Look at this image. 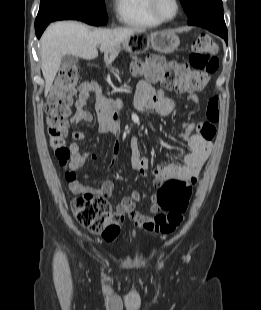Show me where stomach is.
I'll use <instances>...</instances> for the list:
<instances>
[{
	"instance_id": "stomach-1",
	"label": "stomach",
	"mask_w": 261,
	"mask_h": 310,
	"mask_svg": "<svg viewBox=\"0 0 261 310\" xmlns=\"http://www.w3.org/2000/svg\"><path fill=\"white\" fill-rule=\"evenodd\" d=\"M180 44L179 37L173 31H158L148 35L145 32H136L129 39L122 42L121 45L109 53L107 59L112 61L120 52L121 48L132 54H139L152 47L160 53H171L178 48Z\"/></svg>"
}]
</instances>
